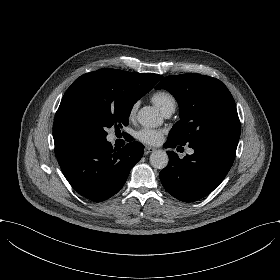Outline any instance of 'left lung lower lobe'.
Wrapping results in <instances>:
<instances>
[{
  "mask_svg": "<svg viewBox=\"0 0 280 280\" xmlns=\"http://www.w3.org/2000/svg\"><path fill=\"white\" fill-rule=\"evenodd\" d=\"M237 141L211 140L189 143L192 155L180 159L167 151L169 163L159 177L168 193L184 202H194L211 193L230 170L237 149ZM167 147L182 145L168 137Z\"/></svg>",
  "mask_w": 280,
  "mask_h": 280,
  "instance_id": "0a47b994",
  "label": "left lung lower lobe"
}]
</instances>
